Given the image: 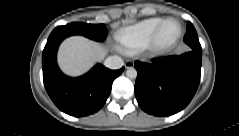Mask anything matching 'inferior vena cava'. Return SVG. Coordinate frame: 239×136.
I'll list each match as a JSON object with an SVG mask.
<instances>
[{"instance_id":"obj_1","label":"inferior vena cava","mask_w":239,"mask_h":136,"mask_svg":"<svg viewBox=\"0 0 239 136\" xmlns=\"http://www.w3.org/2000/svg\"><path fill=\"white\" fill-rule=\"evenodd\" d=\"M104 65L109 69H120L123 65V59L119 56H110L104 61Z\"/></svg>"}]
</instances>
